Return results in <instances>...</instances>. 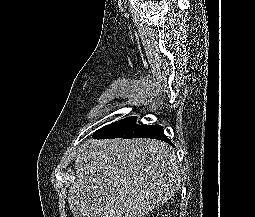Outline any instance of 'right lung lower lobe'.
<instances>
[{
	"mask_svg": "<svg viewBox=\"0 0 255 217\" xmlns=\"http://www.w3.org/2000/svg\"><path fill=\"white\" fill-rule=\"evenodd\" d=\"M135 117H128L97 130L93 137L97 139L108 138H151L165 141L172 145L165 136L163 128L159 125H137Z\"/></svg>",
	"mask_w": 255,
	"mask_h": 217,
	"instance_id": "right-lung-lower-lobe-1",
	"label": "right lung lower lobe"
}]
</instances>
